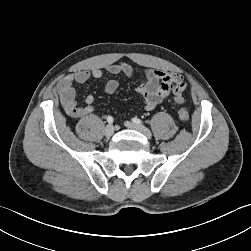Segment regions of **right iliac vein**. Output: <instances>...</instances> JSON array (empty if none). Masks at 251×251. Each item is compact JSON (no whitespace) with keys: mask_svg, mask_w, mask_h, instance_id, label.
Listing matches in <instances>:
<instances>
[{"mask_svg":"<svg viewBox=\"0 0 251 251\" xmlns=\"http://www.w3.org/2000/svg\"><path fill=\"white\" fill-rule=\"evenodd\" d=\"M113 133H114L113 125H111V124L107 125L104 129V135L109 138L113 135Z\"/></svg>","mask_w":251,"mask_h":251,"instance_id":"obj_1","label":"right iliac vein"}]
</instances>
